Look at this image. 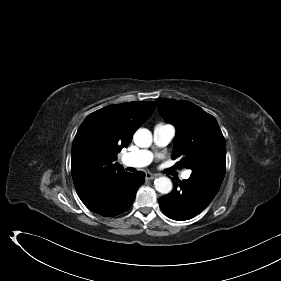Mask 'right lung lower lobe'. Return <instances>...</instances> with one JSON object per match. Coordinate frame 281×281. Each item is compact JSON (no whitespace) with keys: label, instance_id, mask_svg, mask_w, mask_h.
Returning a JSON list of instances; mask_svg holds the SVG:
<instances>
[{"label":"right lung lower lobe","instance_id":"98d812e1","mask_svg":"<svg viewBox=\"0 0 281 281\" xmlns=\"http://www.w3.org/2000/svg\"><path fill=\"white\" fill-rule=\"evenodd\" d=\"M145 182V173L122 172L82 198L84 205L102 216H116L128 210L134 202L137 189Z\"/></svg>","mask_w":281,"mask_h":281}]
</instances>
